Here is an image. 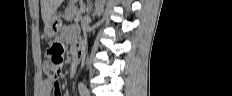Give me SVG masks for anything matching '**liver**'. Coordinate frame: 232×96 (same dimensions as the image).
I'll return each mask as SVG.
<instances>
[{
  "instance_id": "obj_1",
  "label": "liver",
  "mask_w": 232,
  "mask_h": 96,
  "mask_svg": "<svg viewBox=\"0 0 232 96\" xmlns=\"http://www.w3.org/2000/svg\"><path fill=\"white\" fill-rule=\"evenodd\" d=\"M61 3L62 0H41V14L45 26L49 23Z\"/></svg>"
}]
</instances>
